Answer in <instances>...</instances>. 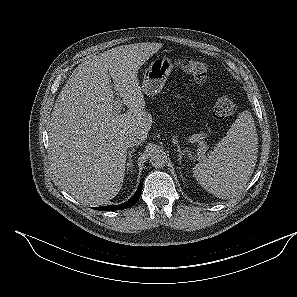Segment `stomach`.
<instances>
[{
	"label": "stomach",
	"mask_w": 297,
	"mask_h": 297,
	"mask_svg": "<svg viewBox=\"0 0 297 297\" xmlns=\"http://www.w3.org/2000/svg\"><path fill=\"white\" fill-rule=\"evenodd\" d=\"M173 62L168 57H158L145 70L142 92L154 96L161 91L173 69Z\"/></svg>",
	"instance_id": "stomach-1"
}]
</instances>
